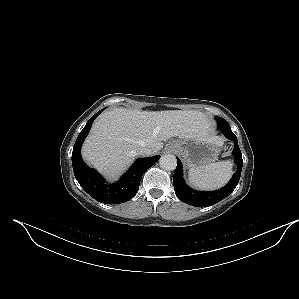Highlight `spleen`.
Masks as SVG:
<instances>
[{
	"label": "spleen",
	"instance_id": "3e777b00",
	"mask_svg": "<svg viewBox=\"0 0 299 299\" xmlns=\"http://www.w3.org/2000/svg\"><path fill=\"white\" fill-rule=\"evenodd\" d=\"M190 183L200 189L213 190L225 185L232 176L231 161L213 162L188 172Z\"/></svg>",
	"mask_w": 299,
	"mask_h": 299
}]
</instances>
